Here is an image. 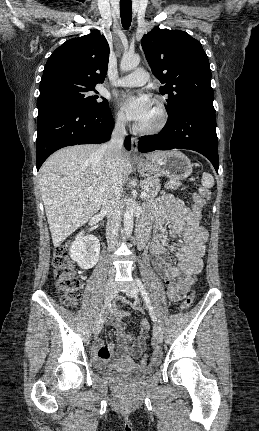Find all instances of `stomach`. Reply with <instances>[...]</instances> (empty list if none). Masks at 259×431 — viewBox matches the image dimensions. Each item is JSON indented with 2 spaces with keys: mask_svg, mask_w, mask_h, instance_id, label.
Here are the masks:
<instances>
[{
  "mask_svg": "<svg viewBox=\"0 0 259 431\" xmlns=\"http://www.w3.org/2000/svg\"><path fill=\"white\" fill-rule=\"evenodd\" d=\"M140 172L151 177L165 176L173 181L186 179L192 173V164L188 157L180 151H167L160 158L153 161L138 162Z\"/></svg>",
  "mask_w": 259,
  "mask_h": 431,
  "instance_id": "1",
  "label": "stomach"
}]
</instances>
